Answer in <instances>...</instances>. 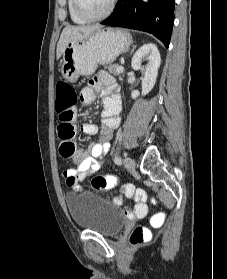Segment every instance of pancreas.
<instances>
[{
	"label": "pancreas",
	"instance_id": "obj_1",
	"mask_svg": "<svg viewBox=\"0 0 227 279\" xmlns=\"http://www.w3.org/2000/svg\"><path fill=\"white\" fill-rule=\"evenodd\" d=\"M118 66H119L118 64H108V65H105V68H106L111 74H113V75H115V76H119L120 73L117 72V70H116Z\"/></svg>",
	"mask_w": 227,
	"mask_h": 279
}]
</instances>
